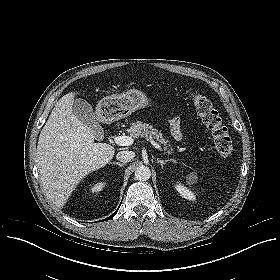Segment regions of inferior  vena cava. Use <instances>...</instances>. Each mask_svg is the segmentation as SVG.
Segmentation results:
<instances>
[{
  "instance_id": "1",
  "label": "inferior vena cava",
  "mask_w": 280,
  "mask_h": 280,
  "mask_svg": "<svg viewBox=\"0 0 280 280\" xmlns=\"http://www.w3.org/2000/svg\"><path fill=\"white\" fill-rule=\"evenodd\" d=\"M135 157L133 151H120L117 153L116 158L122 163H127Z\"/></svg>"
}]
</instances>
